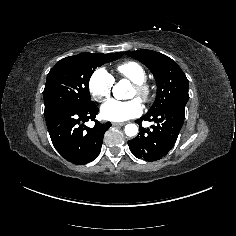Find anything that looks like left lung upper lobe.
Here are the masks:
<instances>
[{
    "label": "left lung upper lobe",
    "instance_id": "left-lung-upper-lobe-1",
    "mask_svg": "<svg viewBox=\"0 0 236 236\" xmlns=\"http://www.w3.org/2000/svg\"><path fill=\"white\" fill-rule=\"evenodd\" d=\"M125 53L145 64L155 77L157 96L147 114L157 112L173 102L187 103L188 79L175 61L164 54L146 49Z\"/></svg>",
    "mask_w": 236,
    "mask_h": 236
}]
</instances>
